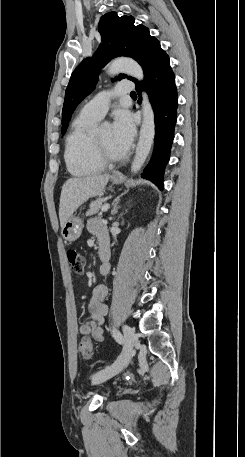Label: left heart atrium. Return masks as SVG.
<instances>
[{
    "instance_id": "1",
    "label": "left heart atrium",
    "mask_w": 245,
    "mask_h": 457,
    "mask_svg": "<svg viewBox=\"0 0 245 457\" xmlns=\"http://www.w3.org/2000/svg\"><path fill=\"white\" fill-rule=\"evenodd\" d=\"M134 133L135 126L132 115L126 110H118L115 113L111 130L113 141L124 150H128L132 144Z\"/></svg>"
}]
</instances>
